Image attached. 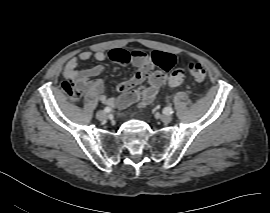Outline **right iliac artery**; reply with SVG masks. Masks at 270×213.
Returning a JSON list of instances; mask_svg holds the SVG:
<instances>
[{
	"mask_svg": "<svg viewBox=\"0 0 270 213\" xmlns=\"http://www.w3.org/2000/svg\"><path fill=\"white\" fill-rule=\"evenodd\" d=\"M111 110H112V109H111L109 106H107V107L104 108V111H105L106 113H110Z\"/></svg>",
	"mask_w": 270,
	"mask_h": 213,
	"instance_id": "obj_1",
	"label": "right iliac artery"
}]
</instances>
